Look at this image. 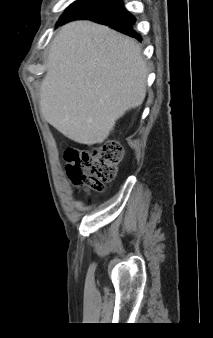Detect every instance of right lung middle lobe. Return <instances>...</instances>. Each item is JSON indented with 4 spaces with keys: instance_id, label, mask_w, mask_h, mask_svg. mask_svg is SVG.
Here are the masks:
<instances>
[{
    "instance_id": "1",
    "label": "right lung middle lobe",
    "mask_w": 213,
    "mask_h": 338,
    "mask_svg": "<svg viewBox=\"0 0 213 338\" xmlns=\"http://www.w3.org/2000/svg\"><path fill=\"white\" fill-rule=\"evenodd\" d=\"M93 0H78L71 4L60 17V20L57 25H60L66 18H68L74 11L78 8L82 7L83 5L92 2Z\"/></svg>"
}]
</instances>
